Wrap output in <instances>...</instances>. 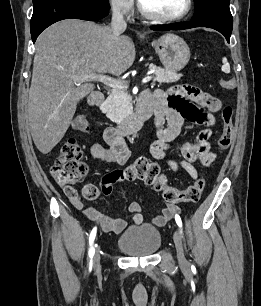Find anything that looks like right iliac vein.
Returning a JSON list of instances; mask_svg holds the SVG:
<instances>
[{"mask_svg": "<svg viewBox=\"0 0 261 306\" xmlns=\"http://www.w3.org/2000/svg\"><path fill=\"white\" fill-rule=\"evenodd\" d=\"M99 266H100V254H99V249H98L94 256V267L98 268Z\"/></svg>", "mask_w": 261, "mask_h": 306, "instance_id": "right-iliac-vein-1", "label": "right iliac vein"}]
</instances>
